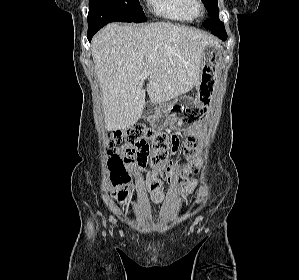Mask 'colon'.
Masks as SVG:
<instances>
[{"label": "colon", "instance_id": "5ec220e1", "mask_svg": "<svg viewBox=\"0 0 299 280\" xmlns=\"http://www.w3.org/2000/svg\"><path fill=\"white\" fill-rule=\"evenodd\" d=\"M112 149L122 145L128 152L124 157L108 151V168L112 196L120 203L126 204L132 195L131 165L136 163L140 169L150 165L158 168L161 176L167 180L177 178L183 171L171 160L180 145L178 134L173 130H157L142 124L120 129L113 133L109 140ZM185 155L195 160L198 155L195 140L189 137L185 142Z\"/></svg>", "mask_w": 299, "mask_h": 280}]
</instances>
